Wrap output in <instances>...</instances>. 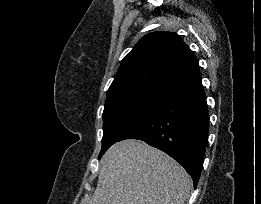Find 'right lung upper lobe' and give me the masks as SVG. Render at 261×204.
Masks as SVG:
<instances>
[{"label": "right lung upper lobe", "instance_id": "1", "mask_svg": "<svg viewBox=\"0 0 261 204\" xmlns=\"http://www.w3.org/2000/svg\"><path fill=\"white\" fill-rule=\"evenodd\" d=\"M198 72L196 57L178 34L149 33L125 56L107 96L136 90L167 93Z\"/></svg>", "mask_w": 261, "mask_h": 204}]
</instances>
